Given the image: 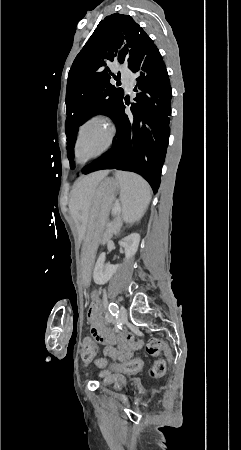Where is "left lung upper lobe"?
<instances>
[{"label": "left lung upper lobe", "mask_w": 241, "mask_h": 450, "mask_svg": "<svg viewBox=\"0 0 241 450\" xmlns=\"http://www.w3.org/2000/svg\"><path fill=\"white\" fill-rule=\"evenodd\" d=\"M154 46L153 41L131 16L112 14L102 20L76 56L68 74L66 124L68 159L73 163V148L78 126L95 114L114 118L124 91L110 83L109 63H128L130 67Z\"/></svg>", "instance_id": "5c2ea615"}]
</instances>
